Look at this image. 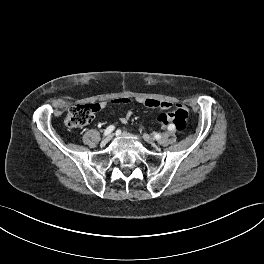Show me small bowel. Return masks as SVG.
I'll return each mask as SVG.
<instances>
[{
  "instance_id": "c3829d8e",
  "label": "small bowel",
  "mask_w": 264,
  "mask_h": 264,
  "mask_svg": "<svg viewBox=\"0 0 264 264\" xmlns=\"http://www.w3.org/2000/svg\"><path fill=\"white\" fill-rule=\"evenodd\" d=\"M128 102H129L128 99H120L114 103H128ZM137 102L146 106V107H149V108H159V109H163V110H167L173 106V104L170 102L159 101L156 99H149V98H147V99L139 98V99H137ZM99 105H100V107H105L106 103L102 102ZM131 114L132 113L130 111H128L124 116H122L120 118L121 123L126 124L129 120V118L131 117Z\"/></svg>"
}]
</instances>
